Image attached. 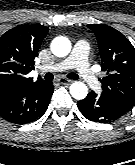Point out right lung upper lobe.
I'll list each match as a JSON object with an SVG mask.
<instances>
[{
    "label": "right lung upper lobe",
    "instance_id": "cb5924a9",
    "mask_svg": "<svg viewBox=\"0 0 135 165\" xmlns=\"http://www.w3.org/2000/svg\"><path fill=\"white\" fill-rule=\"evenodd\" d=\"M47 33L48 28L40 24L20 25L0 37V90L46 82L39 78L34 83L27 75L34 69V59Z\"/></svg>",
    "mask_w": 135,
    "mask_h": 165
}]
</instances>
